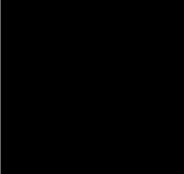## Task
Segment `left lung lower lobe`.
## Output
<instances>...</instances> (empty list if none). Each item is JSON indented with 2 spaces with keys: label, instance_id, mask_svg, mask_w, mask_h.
<instances>
[{
  "label": "left lung lower lobe",
  "instance_id": "1",
  "mask_svg": "<svg viewBox=\"0 0 184 174\" xmlns=\"http://www.w3.org/2000/svg\"><path fill=\"white\" fill-rule=\"evenodd\" d=\"M162 136L159 132L125 124L117 145L128 154H143L157 145Z\"/></svg>",
  "mask_w": 184,
  "mask_h": 174
}]
</instances>
